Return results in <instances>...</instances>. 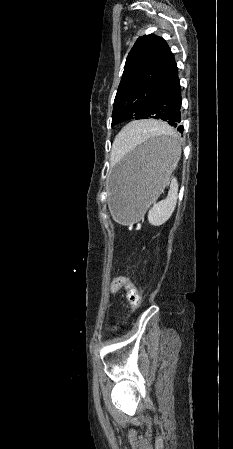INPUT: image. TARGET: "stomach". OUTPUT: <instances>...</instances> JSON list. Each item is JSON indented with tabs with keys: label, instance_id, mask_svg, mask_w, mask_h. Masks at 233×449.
Instances as JSON below:
<instances>
[{
	"label": "stomach",
	"instance_id": "0dacf381",
	"mask_svg": "<svg viewBox=\"0 0 233 449\" xmlns=\"http://www.w3.org/2000/svg\"><path fill=\"white\" fill-rule=\"evenodd\" d=\"M180 152L177 139L162 133L119 162L110 177V209L124 224L139 221L164 190Z\"/></svg>",
	"mask_w": 233,
	"mask_h": 449
}]
</instances>
